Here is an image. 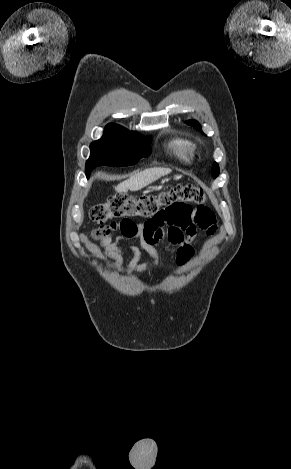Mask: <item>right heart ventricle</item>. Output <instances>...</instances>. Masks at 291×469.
I'll use <instances>...</instances> for the list:
<instances>
[{
    "label": "right heart ventricle",
    "mask_w": 291,
    "mask_h": 469,
    "mask_svg": "<svg viewBox=\"0 0 291 469\" xmlns=\"http://www.w3.org/2000/svg\"><path fill=\"white\" fill-rule=\"evenodd\" d=\"M168 149L181 161L190 162L194 156L195 144L187 138L176 136L168 142Z\"/></svg>",
    "instance_id": "1"
}]
</instances>
